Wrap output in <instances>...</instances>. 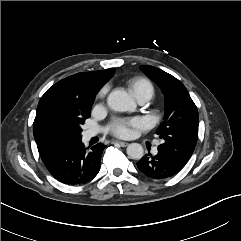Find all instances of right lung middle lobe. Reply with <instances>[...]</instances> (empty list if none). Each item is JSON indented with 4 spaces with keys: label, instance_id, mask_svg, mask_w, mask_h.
I'll return each instance as SVG.
<instances>
[{
    "label": "right lung middle lobe",
    "instance_id": "dd1d6c3e",
    "mask_svg": "<svg viewBox=\"0 0 241 241\" xmlns=\"http://www.w3.org/2000/svg\"><path fill=\"white\" fill-rule=\"evenodd\" d=\"M89 116L90 111L82 115L66 113L48 116L43 125L46 148L53 149L65 143L80 140V126Z\"/></svg>",
    "mask_w": 241,
    "mask_h": 241
}]
</instances>
